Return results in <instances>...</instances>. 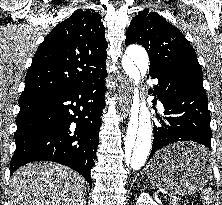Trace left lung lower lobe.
I'll use <instances>...</instances> for the list:
<instances>
[{
	"mask_svg": "<svg viewBox=\"0 0 222 205\" xmlns=\"http://www.w3.org/2000/svg\"><path fill=\"white\" fill-rule=\"evenodd\" d=\"M149 74L159 80L154 92L165 108L166 117H158L159 123L154 124L153 146L148 160L166 145L194 141L208 149L185 152L177 158L178 162L184 165L209 164L210 112L203 82L187 72L166 66H151Z\"/></svg>",
	"mask_w": 222,
	"mask_h": 205,
	"instance_id": "0a47b994",
	"label": "left lung lower lobe"
}]
</instances>
